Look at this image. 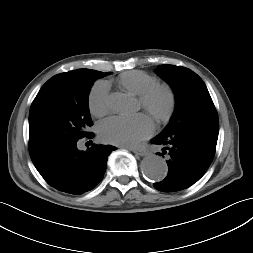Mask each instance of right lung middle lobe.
Instances as JSON below:
<instances>
[{
  "mask_svg": "<svg viewBox=\"0 0 253 253\" xmlns=\"http://www.w3.org/2000/svg\"><path fill=\"white\" fill-rule=\"evenodd\" d=\"M107 73L78 69L49 79L32 102L29 152L33 163L56 149L82 139L92 125L88 94L94 81Z\"/></svg>",
  "mask_w": 253,
  "mask_h": 253,
  "instance_id": "obj_1",
  "label": "right lung middle lobe"
}]
</instances>
